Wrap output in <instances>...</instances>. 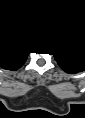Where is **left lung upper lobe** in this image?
<instances>
[{
	"label": "left lung upper lobe",
	"instance_id": "obj_1",
	"mask_svg": "<svg viewBox=\"0 0 85 118\" xmlns=\"http://www.w3.org/2000/svg\"><path fill=\"white\" fill-rule=\"evenodd\" d=\"M68 56V55H67ZM61 59V61H64V58H60ZM63 64V63H62Z\"/></svg>",
	"mask_w": 85,
	"mask_h": 118
}]
</instances>
